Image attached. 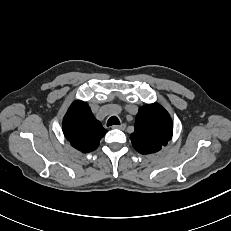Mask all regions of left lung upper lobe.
<instances>
[{"label":"left lung upper lobe","instance_id":"1","mask_svg":"<svg viewBox=\"0 0 231 231\" xmlns=\"http://www.w3.org/2000/svg\"><path fill=\"white\" fill-rule=\"evenodd\" d=\"M173 123L168 112L158 103L140 107L135 119L131 142L141 154L155 153L171 139Z\"/></svg>","mask_w":231,"mask_h":231}]
</instances>
